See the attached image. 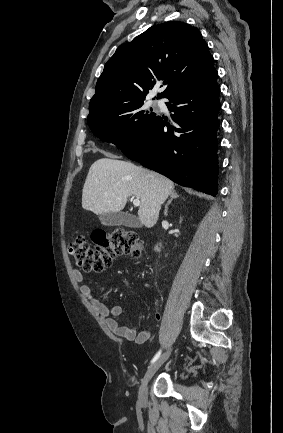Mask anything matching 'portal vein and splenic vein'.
I'll return each instance as SVG.
<instances>
[{"instance_id": "18ae733b", "label": "portal vein and splenic vein", "mask_w": 283, "mask_h": 433, "mask_svg": "<svg viewBox=\"0 0 283 433\" xmlns=\"http://www.w3.org/2000/svg\"><path fill=\"white\" fill-rule=\"evenodd\" d=\"M133 204H134V206H139V204H140L139 198H134Z\"/></svg>"}]
</instances>
